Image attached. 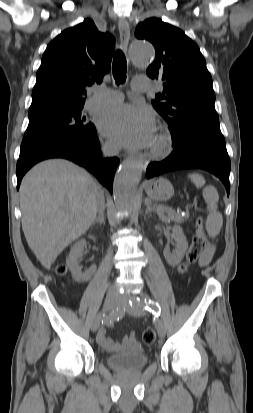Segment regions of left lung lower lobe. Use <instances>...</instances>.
Instances as JSON below:
<instances>
[{
    "label": "left lung lower lobe",
    "mask_w": 253,
    "mask_h": 413,
    "mask_svg": "<svg viewBox=\"0 0 253 413\" xmlns=\"http://www.w3.org/2000/svg\"><path fill=\"white\" fill-rule=\"evenodd\" d=\"M171 134L173 152L165 160L151 163L146 177L179 169H203L217 176L229 195L230 159L219 122L198 120Z\"/></svg>",
    "instance_id": "1"
}]
</instances>
